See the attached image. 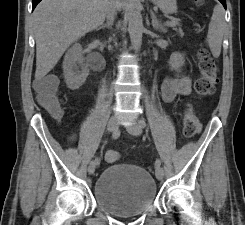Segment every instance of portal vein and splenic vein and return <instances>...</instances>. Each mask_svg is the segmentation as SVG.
I'll list each match as a JSON object with an SVG mask.
<instances>
[{"label": "portal vein and splenic vein", "mask_w": 245, "mask_h": 225, "mask_svg": "<svg viewBox=\"0 0 245 225\" xmlns=\"http://www.w3.org/2000/svg\"><path fill=\"white\" fill-rule=\"evenodd\" d=\"M165 24L167 26L173 27L176 24V19L175 18H171L170 21H166Z\"/></svg>", "instance_id": "18ae733b"}]
</instances>
